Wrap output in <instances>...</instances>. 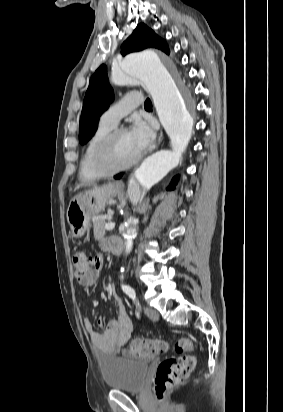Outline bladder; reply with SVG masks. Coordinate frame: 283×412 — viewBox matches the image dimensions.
<instances>
[{"instance_id":"31cf9c89","label":"bladder","mask_w":283,"mask_h":412,"mask_svg":"<svg viewBox=\"0 0 283 412\" xmlns=\"http://www.w3.org/2000/svg\"><path fill=\"white\" fill-rule=\"evenodd\" d=\"M104 385L112 390L138 392L144 389L149 364L139 360L108 358L101 361Z\"/></svg>"}]
</instances>
